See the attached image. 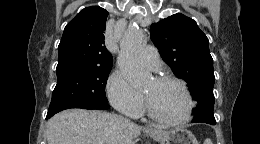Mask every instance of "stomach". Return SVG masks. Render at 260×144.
<instances>
[{
	"instance_id": "stomach-1",
	"label": "stomach",
	"mask_w": 260,
	"mask_h": 144,
	"mask_svg": "<svg viewBox=\"0 0 260 144\" xmlns=\"http://www.w3.org/2000/svg\"><path fill=\"white\" fill-rule=\"evenodd\" d=\"M149 135L160 144H198L195 136L189 130L181 127L169 130H151Z\"/></svg>"
}]
</instances>
